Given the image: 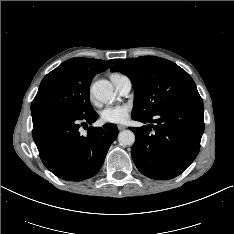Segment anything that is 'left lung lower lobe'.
Wrapping results in <instances>:
<instances>
[{
    "label": "left lung lower lobe",
    "mask_w": 234,
    "mask_h": 234,
    "mask_svg": "<svg viewBox=\"0 0 234 234\" xmlns=\"http://www.w3.org/2000/svg\"><path fill=\"white\" fill-rule=\"evenodd\" d=\"M200 96L185 99L157 111L150 117L136 118L148 126L130 128L136 137L131 154L138 170L156 180L181 174L196 158L205 128Z\"/></svg>",
    "instance_id": "1"
}]
</instances>
